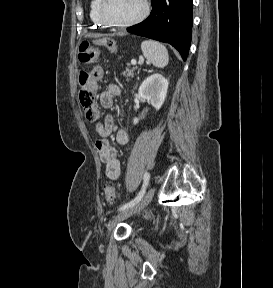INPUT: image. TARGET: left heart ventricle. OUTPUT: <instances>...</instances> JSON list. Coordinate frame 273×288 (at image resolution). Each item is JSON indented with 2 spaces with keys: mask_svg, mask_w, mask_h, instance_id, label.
<instances>
[{
  "mask_svg": "<svg viewBox=\"0 0 273 288\" xmlns=\"http://www.w3.org/2000/svg\"><path fill=\"white\" fill-rule=\"evenodd\" d=\"M142 9V0H106L104 11L110 20L124 22L138 16Z\"/></svg>",
  "mask_w": 273,
  "mask_h": 288,
  "instance_id": "1",
  "label": "left heart ventricle"
}]
</instances>
